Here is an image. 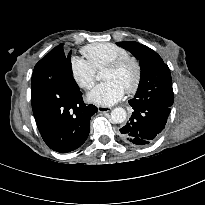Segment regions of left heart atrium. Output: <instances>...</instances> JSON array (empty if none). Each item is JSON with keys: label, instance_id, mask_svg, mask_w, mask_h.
Returning <instances> with one entry per match:
<instances>
[{"label": "left heart atrium", "instance_id": "1", "mask_svg": "<svg viewBox=\"0 0 205 205\" xmlns=\"http://www.w3.org/2000/svg\"><path fill=\"white\" fill-rule=\"evenodd\" d=\"M125 89L113 80L97 85L89 94L88 101L101 106H110L124 96Z\"/></svg>", "mask_w": 205, "mask_h": 205}]
</instances>
